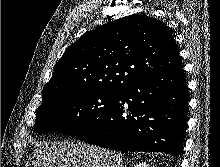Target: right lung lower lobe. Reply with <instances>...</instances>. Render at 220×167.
Segmentation results:
<instances>
[{"label": "right lung lower lobe", "mask_w": 220, "mask_h": 167, "mask_svg": "<svg viewBox=\"0 0 220 167\" xmlns=\"http://www.w3.org/2000/svg\"><path fill=\"white\" fill-rule=\"evenodd\" d=\"M187 120L188 88L181 65L120 90L104 117L77 137L113 150L163 152L178 158Z\"/></svg>", "instance_id": "1"}]
</instances>
